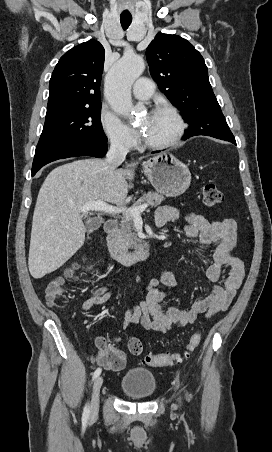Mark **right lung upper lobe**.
Listing matches in <instances>:
<instances>
[{"instance_id":"obj_1","label":"right lung upper lobe","mask_w":272,"mask_h":452,"mask_svg":"<svg viewBox=\"0 0 272 452\" xmlns=\"http://www.w3.org/2000/svg\"><path fill=\"white\" fill-rule=\"evenodd\" d=\"M104 56L101 43L89 40L60 58L50 79L47 114L101 105Z\"/></svg>"}]
</instances>
